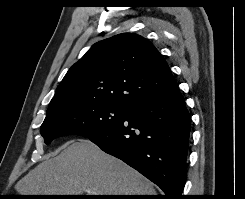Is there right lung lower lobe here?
<instances>
[{
    "instance_id": "obj_1",
    "label": "right lung lower lobe",
    "mask_w": 245,
    "mask_h": 199,
    "mask_svg": "<svg viewBox=\"0 0 245 199\" xmlns=\"http://www.w3.org/2000/svg\"><path fill=\"white\" fill-rule=\"evenodd\" d=\"M190 126L177 86L128 108L121 120L87 138L158 185L165 199H183Z\"/></svg>"
}]
</instances>
